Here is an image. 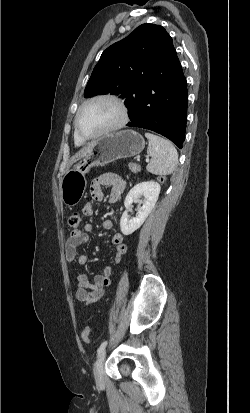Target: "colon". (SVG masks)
Returning <instances> with one entry per match:
<instances>
[{
  "label": "colon",
  "instance_id": "1",
  "mask_svg": "<svg viewBox=\"0 0 250 413\" xmlns=\"http://www.w3.org/2000/svg\"><path fill=\"white\" fill-rule=\"evenodd\" d=\"M129 168L132 172L135 173H139L142 170L141 166L137 163H130ZM156 181L158 183H165L167 181V176L165 174H158L156 176ZM81 223L82 217L80 213L75 212L69 216L67 225L71 231V234L74 229L80 228ZM81 338L85 343H90V328L88 326L83 329L81 333Z\"/></svg>",
  "mask_w": 250,
  "mask_h": 413
}]
</instances>
